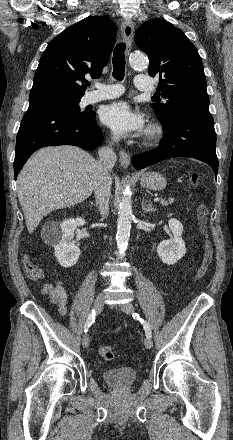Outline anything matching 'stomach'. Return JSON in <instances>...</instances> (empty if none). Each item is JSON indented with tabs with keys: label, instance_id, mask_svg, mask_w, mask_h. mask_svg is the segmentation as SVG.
<instances>
[{
	"label": "stomach",
	"instance_id": "1",
	"mask_svg": "<svg viewBox=\"0 0 233 440\" xmlns=\"http://www.w3.org/2000/svg\"><path fill=\"white\" fill-rule=\"evenodd\" d=\"M141 185L153 191H160L166 187V179L158 172H146L140 176Z\"/></svg>",
	"mask_w": 233,
	"mask_h": 440
}]
</instances>
